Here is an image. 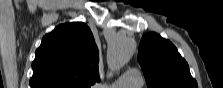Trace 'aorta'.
<instances>
[{
    "mask_svg": "<svg viewBox=\"0 0 223 88\" xmlns=\"http://www.w3.org/2000/svg\"><path fill=\"white\" fill-rule=\"evenodd\" d=\"M136 43L132 38H117L110 45L107 55L109 67L118 70L133 56Z\"/></svg>",
    "mask_w": 223,
    "mask_h": 88,
    "instance_id": "aorta-1",
    "label": "aorta"
}]
</instances>
